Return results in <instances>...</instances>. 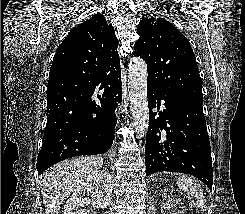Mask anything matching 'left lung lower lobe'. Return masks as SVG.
Here are the masks:
<instances>
[{
	"label": "left lung lower lobe",
	"mask_w": 245,
	"mask_h": 214,
	"mask_svg": "<svg viewBox=\"0 0 245 214\" xmlns=\"http://www.w3.org/2000/svg\"><path fill=\"white\" fill-rule=\"evenodd\" d=\"M149 128L145 146L146 175L158 171L190 174L212 188L211 146L203 98L175 96L147 86ZM165 101L159 112L161 101Z\"/></svg>",
	"instance_id": "1"
}]
</instances>
